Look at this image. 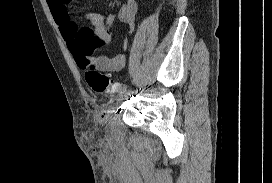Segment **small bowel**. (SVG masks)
<instances>
[{"label": "small bowel", "instance_id": "c3829d8e", "mask_svg": "<svg viewBox=\"0 0 272 183\" xmlns=\"http://www.w3.org/2000/svg\"><path fill=\"white\" fill-rule=\"evenodd\" d=\"M51 14L58 24L62 37L79 68L86 70L89 66L106 72H119L125 65L124 54L113 56L102 54L94 56L93 52L102 46H109L111 34L105 25L104 17L99 12L90 11L84 18L91 26L78 22L81 11L77 0H47ZM138 3L136 0H124L118 11V18L127 24L133 32L138 20ZM128 42L123 41L122 50H126Z\"/></svg>", "mask_w": 272, "mask_h": 183}]
</instances>
